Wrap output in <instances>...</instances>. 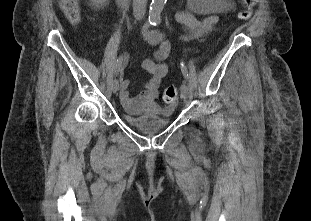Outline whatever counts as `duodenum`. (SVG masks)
<instances>
[{
    "label": "duodenum",
    "instance_id": "duodenum-1",
    "mask_svg": "<svg viewBox=\"0 0 311 221\" xmlns=\"http://www.w3.org/2000/svg\"><path fill=\"white\" fill-rule=\"evenodd\" d=\"M132 2V0H117V3L120 5H128Z\"/></svg>",
    "mask_w": 311,
    "mask_h": 221
}]
</instances>
